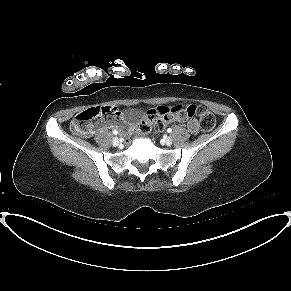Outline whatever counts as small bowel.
<instances>
[{"label":"small bowel","instance_id":"c3829d8e","mask_svg":"<svg viewBox=\"0 0 291 291\" xmlns=\"http://www.w3.org/2000/svg\"><path fill=\"white\" fill-rule=\"evenodd\" d=\"M152 110H155V109L147 110L144 113V117L147 118ZM174 118H175V120H177L179 122L186 123V127H187V129H188V131L190 133L196 134L199 131V123H198V121L196 119L192 118V117L187 116L185 113L178 114ZM111 126L112 127L119 126L120 129L123 130V131H129L130 130V128L128 126H126V125H123V123L118 118L115 120V122L113 124H111Z\"/></svg>","mask_w":291,"mask_h":291}]
</instances>
